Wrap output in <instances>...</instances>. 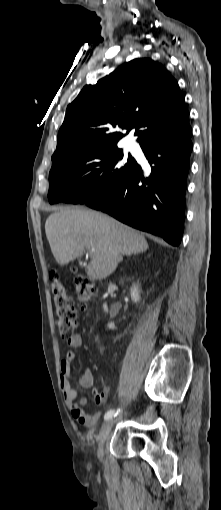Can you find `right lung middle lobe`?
<instances>
[{
  "label": "right lung middle lobe",
  "mask_w": 221,
  "mask_h": 510,
  "mask_svg": "<svg viewBox=\"0 0 221 510\" xmlns=\"http://www.w3.org/2000/svg\"><path fill=\"white\" fill-rule=\"evenodd\" d=\"M137 165L117 145L71 153L52 166L49 202L86 203L124 181Z\"/></svg>",
  "instance_id": "1"
}]
</instances>
